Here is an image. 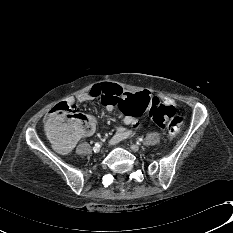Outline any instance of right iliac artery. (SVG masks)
<instances>
[{"label": "right iliac artery", "mask_w": 233, "mask_h": 233, "mask_svg": "<svg viewBox=\"0 0 233 233\" xmlns=\"http://www.w3.org/2000/svg\"><path fill=\"white\" fill-rule=\"evenodd\" d=\"M95 147H100V144H99V143H96V144H95Z\"/></svg>", "instance_id": "right-iliac-artery-1"}]
</instances>
